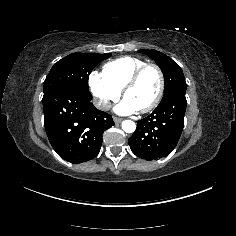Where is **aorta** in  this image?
<instances>
[{
  "label": "aorta",
  "mask_w": 236,
  "mask_h": 236,
  "mask_svg": "<svg viewBox=\"0 0 236 236\" xmlns=\"http://www.w3.org/2000/svg\"><path fill=\"white\" fill-rule=\"evenodd\" d=\"M122 129L126 133H133L136 129V125L132 120H125L122 122Z\"/></svg>",
  "instance_id": "aorta-1"
}]
</instances>
